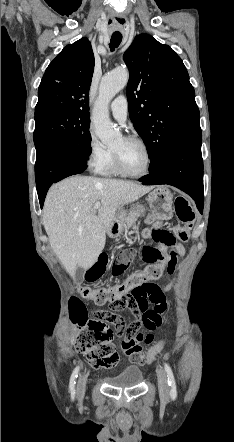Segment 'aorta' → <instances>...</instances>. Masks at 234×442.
Returning a JSON list of instances; mask_svg holds the SVG:
<instances>
[{
    "instance_id": "obj_1",
    "label": "aorta",
    "mask_w": 234,
    "mask_h": 442,
    "mask_svg": "<svg viewBox=\"0 0 234 442\" xmlns=\"http://www.w3.org/2000/svg\"><path fill=\"white\" fill-rule=\"evenodd\" d=\"M128 79V70L121 68L111 71L101 80L99 96L93 112V123L96 135L104 144H112L120 137V133L109 119L108 105L115 95L127 85Z\"/></svg>"
}]
</instances>
